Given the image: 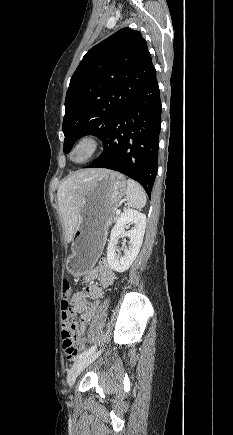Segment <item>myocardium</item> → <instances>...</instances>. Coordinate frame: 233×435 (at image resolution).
Listing matches in <instances>:
<instances>
[{
	"instance_id": "myocardium-1",
	"label": "myocardium",
	"mask_w": 233,
	"mask_h": 435,
	"mask_svg": "<svg viewBox=\"0 0 233 435\" xmlns=\"http://www.w3.org/2000/svg\"><path fill=\"white\" fill-rule=\"evenodd\" d=\"M99 148V138L95 134H85L78 138V140L72 145L69 151V159L78 165L89 162L97 153ZM84 152V156L76 160L75 154L77 152Z\"/></svg>"
}]
</instances>
